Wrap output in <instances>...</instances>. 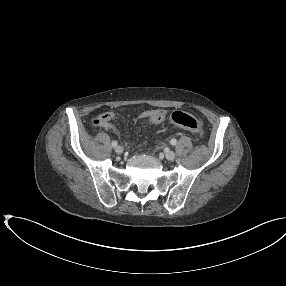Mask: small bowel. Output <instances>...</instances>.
I'll return each mask as SVG.
<instances>
[{
	"label": "small bowel",
	"mask_w": 286,
	"mask_h": 286,
	"mask_svg": "<svg viewBox=\"0 0 286 286\" xmlns=\"http://www.w3.org/2000/svg\"><path fill=\"white\" fill-rule=\"evenodd\" d=\"M116 118V114L114 112H103L99 116H97L93 123L96 126H100L109 130H112L115 134H119V130L116 126L112 123L113 120ZM139 119L147 120L152 124H161L166 119V111L161 109H151L142 112L139 116Z\"/></svg>",
	"instance_id": "small-bowel-1"
}]
</instances>
